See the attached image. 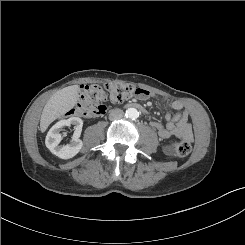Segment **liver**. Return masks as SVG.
<instances>
[{
  "mask_svg": "<svg viewBox=\"0 0 245 245\" xmlns=\"http://www.w3.org/2000/svg\"><path fill=\"white\" fill-rule=\"evenodd\" d=\"M78 86L72 85L65 87L56 93L47 101L42 111L40 119V131L45 132L48 126L57 118L63 116L72 109L77 103Z\"/></svg>",
  "mask_w": 245,
  "mask_h": 245,
  "instance_id": "6515ba94",
  "label": "liver"
}]
</instances>
